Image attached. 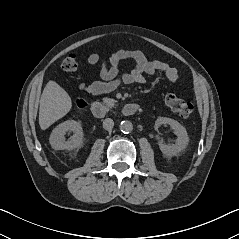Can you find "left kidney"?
<instances>
[{"instance_id":"1","label":"left kidney","mask_w":239,"mask_h":239,"mask_svg":"<svg viewBox=\"0 0 239 239\" xmlns=\"http://www.w3.org/2000/svg\"><path fill=\"white\" fill-rule=\"evenodd\" d=\"M161 125H169L177 135L175 143L172 144H163L161 141L158 142L160 150L166 156H176L183 152L188 145L189 137L184 126H182L178 121L167 118L159 117L155 122V127L158 128Z\"/></svg>"}]
</instances>
